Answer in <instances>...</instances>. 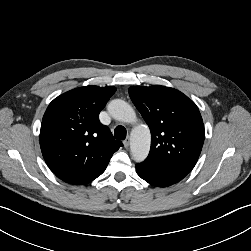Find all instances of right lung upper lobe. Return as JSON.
Here are the masks:
<instances>
[{"label": "right lung upper lobe", "mask_w": 251, "mask_h": 251, "mask_svg": "<svg viewBox=\"0 0 251 251\" xmlns=\"http://www.w3.org/2000/svg\"><path fill=\"white\" fill-rule=\"evenodd\" d=\"M115 91L113 86L80 87L49 104L42 119L40 147L45 162L61 180L73 185L91 182L123 146L98 119Z\"/></svg>", "instance_id": "cb5924a9"}]
</instances>
